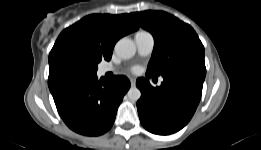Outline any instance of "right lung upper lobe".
Returning <instances> with one entry per match:
<instances>
[{
    "label": "right lung upper lobe",
    "mask_w": 261,
    "mask_h": 150,
    "mask_svg": "<svg viewBox=\"0 0 261 150\" xmlns=\"http://www.w3.org/2000/svg\"><path fill=\"white\" fill-rule=\"evenodd\" d=\"M138 28L129 14H92L64 29L49 54L51 93L69 83L97 77L95 63L109 61L115 43ZM73 53L81 54L87 64L78 70L69 68L67 57Z\"/></svg>",
    "instance_id": "right-lung-upper-lobe-1"
}]
</instances>
